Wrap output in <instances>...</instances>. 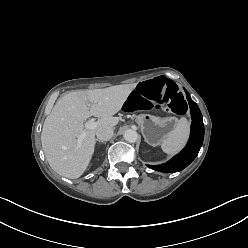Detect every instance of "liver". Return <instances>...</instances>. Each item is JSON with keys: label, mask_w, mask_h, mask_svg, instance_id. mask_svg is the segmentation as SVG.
I'll list each match as a JSON object with an SVG mask.
<instances>
[{"label": "liver", "mask_w": 248, "mask_h": 248, "mask_svg": "<svg viewBox=\"0 0 248 248\" xmlns=\"http://www.w3.org/2000/svg\"><path fill=\"white\" fill-rule=\"evenodd\" d=\"M136 83L115 85L104 89L76 90L60 98L46 117L41 143L51 168L59 175L79 178L87 169L95 149V134L103 126L114 127L120 111ZM89 102L90 108L87 107ZM90 116L98 118L96 129L87 130L80 146L77 139L85 131L83 122Z\"/></svg>", "instance_id": "obj_1"}]
</instances>
